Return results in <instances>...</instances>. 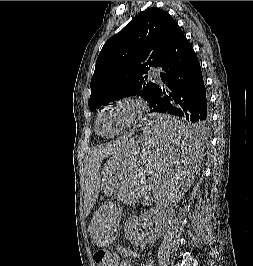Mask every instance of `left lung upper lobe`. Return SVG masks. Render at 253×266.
<instances>
[{"instance_id":"obj_1","label":"left lung upper lobe","mask_w":253,"mask_h":266,"mask_svg":"<svg viewBox=\"0 0 253 266\" xmlns=\"http://www.w3.org/2000/svg\"><path fill=\"white\" fill-rule=\"evenodd\" d=\"M176 24L166 11L150 8L106 41L91 79L90 111L131 94L151 104L155 84L146 74L157 66Z\"/></svg>"}]
</instances>
